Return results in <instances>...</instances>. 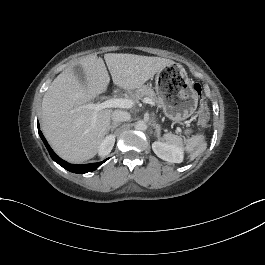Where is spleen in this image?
<instances>
[{
  "label": "spleen",
  "mask_w": 265,
  "mask_h": 265,
  "mask_svg": "<svg viewBox=\"0 0 265 265\" xmlns=\"http://www.w3.org/2000/svg\"><path fill=\"white\" fill-rule=\"evenodd\" d=\"M162 141L184 151L188 161H192L207 148V137L203 131H198L186 139L175 134L165 133L162 135Z\"/></svg>",
  "instance_id": "obj_1"
}]
</instances>
